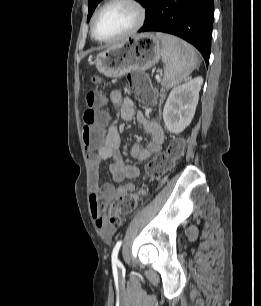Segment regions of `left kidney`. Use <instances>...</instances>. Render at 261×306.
Listing matches in <instances>:
<instances>
[{"instance_id":"obj_1","label":"left kidney","mask_w":261,"mask_h":306,"mask_svg":"<svg viewBox=\"0 0 261 306\" xmlns=\"http://www.w3.org/2000/svg\"><path fill=\"white\" fill-rule=\"evenodd\" d=\"M202 77L174 87L163 109V120L169 132L179 134L191 123L199 99Z\"/></svg>"}]
</instances>
